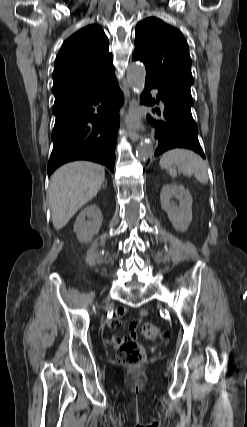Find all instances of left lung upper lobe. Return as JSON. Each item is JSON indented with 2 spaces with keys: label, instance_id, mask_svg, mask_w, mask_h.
I'll return each instance as SVG.
<instances>
[{
  "label": "left lung upper lobe",
  "instance_id": "1",
  "mask_svg": "<svg viewBox=\"0 0 247 427\" xmlns=\"http://www.w3.org/2000/svg\"><path fill=\"white\" fill-rule=\"evenodd\" d=\"M132 60L145 64V82L185 106L193 105L189 47L177 28L156 17L139 22L135 29Z\"/></svg>",
  "mask_w": 247,
  "mask_h": 427
}]
</instances>
